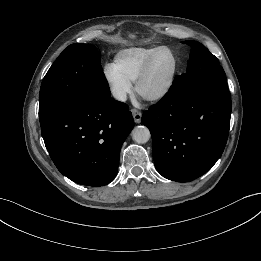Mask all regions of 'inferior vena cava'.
I'll return each mask as SVG.
<instances>
[{"label": "inferior vena cava", "mask_w": 261, "mask_h": 261, "mask_svg": "<svg viewBox=\"0 0 261 261\" xmlns=\"http://www.w3.org/2000/svg\"><path fill=\"white\" fill-rule=\"evenodd\" d=\"M113 96L119 101H126V93L120 89L112 90Z\"/></svg>", "instance_id": "1"}]
</instances>
